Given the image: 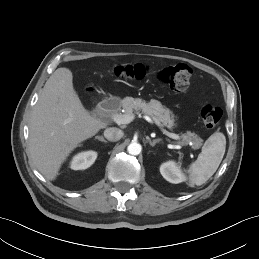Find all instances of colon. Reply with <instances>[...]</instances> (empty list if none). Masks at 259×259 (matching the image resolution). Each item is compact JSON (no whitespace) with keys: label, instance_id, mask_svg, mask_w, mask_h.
Returning a JSON list of instances; mask_svg holds the SVG:
<instances>
[{"label":"colon","instance_id":"1","mask_svg":"<svg viewBox=\"0 0 259 259\" xmlns=\"http://www.w3.org/2000/svg\"><path fill=\"white\" fill-rule=\"evenodd\" d=\"M114 72L122 79L142 80L148 74V68L142 64H122L118 65ZM157 77L172 90L183 91L190 84L192 71L189 66L178 64L160 69ZM200 115L205 127L211 129L219 123L222 111L218 106L206 105L201 109Z\"/></svg>","mask_w":259,"mask_h":259}]
</instances>
